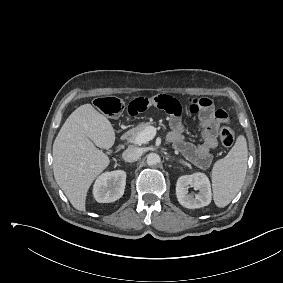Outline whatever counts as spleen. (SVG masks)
I'll list each match as a JSON object with an SVG mask.
<instances>
[{"label": "spleen", "mask_w": 283, "mask_h": 283, "mask_svg": "<svg viewBox=\"0 0 283 283\" xmlns=\"http://www.w3.org/2000/svg\"><path fill=\"white\" fill-rule=\"evenodd\" d=\"M248 149L243 135L212 170L213 200L217 207L227 206L241 189L247 171Z\"/></svg>", "instance_id": "3e777b00"}]
</instances>
